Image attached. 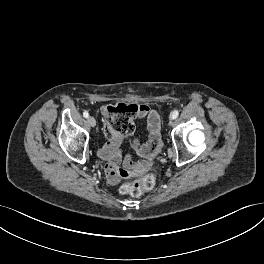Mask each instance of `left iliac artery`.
I'll return each instance as SVG.
<instances>
[{
    "mask_svg": "<svg viewBox=\"0 0 264 264\" xmlns=\"http://www.w3.org/2000/svg\"><path fill=\"white\" fill-rule=\"evenodd\" d=\"M178 115H179L178 110H174V111L172 112V114H171V116H172L173 119H176V118L178 117Z\"/></svg>",
    "mask_w": 264,
    "mask_h": 264,
    "instance_id": "left-iliac-artery-1",
    "label": "left iliac artery"
}]
</instances>
